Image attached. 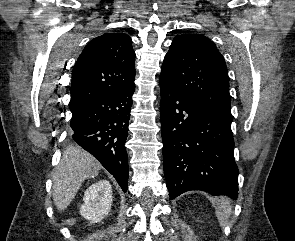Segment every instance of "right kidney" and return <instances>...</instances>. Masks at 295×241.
I'll use <instances>...</instances> for the list:
<instances>
[{"label":"right kidney","instance_id":"1","mask_svg":"<svg viewBox=\"0 0 295 241\" xmlns=\"http://www.w3.org/2000/svg\"><path fill=\"white\" fill-rule=\"evenodd\" d=\"M112 188L108 180H99L84 193L80 214L91 223L100 222L110 212Z\"/></svg>","mask_w":295,"mask_h":241}]
</instances>
